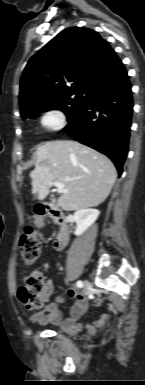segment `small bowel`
I'll list each match as a JSON object with an SVG mask.
<instances>
[{
  "label": "small bowel",
  "instance_id": "obj_1",
  "mask_svg": "<svg viewBox=\"0 0 145 385\" xmlns=\"http://www.w3.org/2000/svg\"><path fill=\"white\" fill-rule=\"evenodd\" d=\"M52 292L53 282L51 280H47L46 288L43 294L45 306L41 311L31 315L30 320L32 322L42 325L51 324L58 326L62 331L69 335H76L85 329L88 335L94 336L97 333L98 328L109 320V317L104 315L100 319L91 321L86 325L80 323V320L86 314L89 304L91 303L94 306H99L103 303L101 298H87L84 295L69 289L63 294L58 295L54 301H51L50 297ZM72 297L76 299V302L71 307L70 317L63 320L60 306Z\"/></svg>",
  "mask_w": 145,
  "mask_h": 385
}]
</instances>
